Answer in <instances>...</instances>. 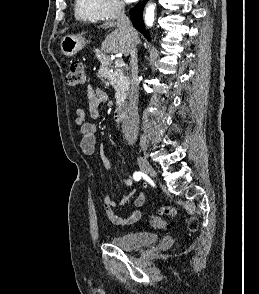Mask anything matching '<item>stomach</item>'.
<instances>
[{
	"label": "stomach",
	"mask_w": 259,
	"mask_h": 294,
	"mask_svg": "<svg viewBox=\"0 0 259 294\" xmlns=\"http://www.w3.org/2000/svg\"><path fill=\"white\" fill-rule=\"evenodd\" d=\"M84 46L85 39L80 34L66 35L60 43L62 53L67 57L75 55L78 51L82 50Z\"/></svg>",
	"instance_id": "stomach-1"
}]
</instances>
